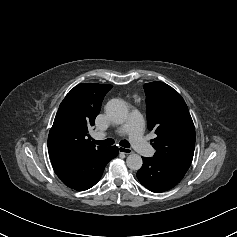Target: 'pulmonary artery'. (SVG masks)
I'll return each mask as SVG.
<instances>
[{"label": "pulmonary artery", "instance_id": "pulmonary-artery-1", "mask_svg": "<svg viewBox=\"0 0 237 237\" xmlns=\"http://www.w3.org/2000/svg\"><path fill=\"white\" fill-rule=\"evenodd\" d=\"M143 118L137 113L133 112L128 121L121 127L117 129L118 134H127L129 136L130 142L138 153L143 156L151 157L155 153V149L146 142L143 137ZM96 138L101 139L105 136L104 133H96Z\"/></svg>", "mask_w": 237, "mask_h": 237}]
</instances>
